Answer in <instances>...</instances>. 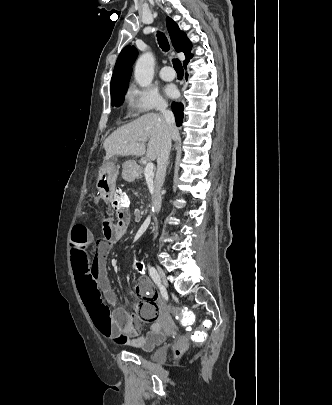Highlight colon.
I'll list each match as a JSON object with an SVG mask.
<instances>
[{
  "label": "colon",
  "mask_w": 332,
  "mask_h": 405,
  "mask_svg": "<svg viewBox=\"0 0 332 405\" xmlns=\"http://www.w3.org/2000/svg\"><path fill=\"white\" fill-rule=\"evenodd\" d=\"M114 197L112 203L109 205L110 212H124L125 208H130L132 206V201L128 199L125 189L122 188L121 184H113ZM132 265L134 270L139 273L146 271V263L144 258H133ZM105 301V299H104ZM179 322L184 328H191L193 326L194 317L189 311H185L184 308L178 309ZM205 331L199 330L194 334V339L196 341H201L205 338Z\"/></svg>",
  "instance_id": "5ec220e1"
}]
</instances>
